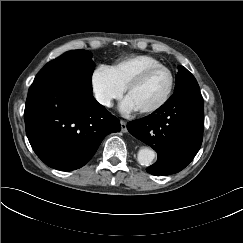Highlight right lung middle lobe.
<instances>
[{
  "label": "right lung middle lobe",
  "mask_w": 243,
  "mask_h": 243,
  "mask_svg": "<svg viewBox=\"0 0 243 243\" xmlns=\"http://www.w3.org/2000/svg\"><path fill=\"white\" fill-rule=\"evenodd\" d=\"M94 68L95 63L89 51H69L47 63L34 81L44 80L92 89L91 77Z\"/></svg>",
  "instance_id": "dd1d6c3e"
}]
</instances>
